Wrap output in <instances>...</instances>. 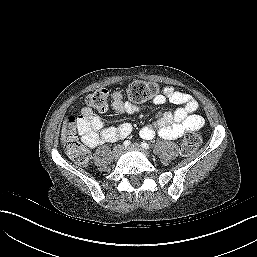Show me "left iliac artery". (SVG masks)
<instances>
[{
    "instance_id": "44dca946",
    "label": "left iliac artery",
    "mask_w": 257,
    "mask_h": 257,
    "mask_svg": "<svg viewBox=\"0 0 257 257\" xmlns=\"http://www.w3.org/2000/svg\"><path fill=\"white\" fill-rule=\"evenodd\" d=\"M141 146L143 148H145V149H149L150 148L149 144H147L146 142L141 143Z\"/></svg>"
}]
</instances>
